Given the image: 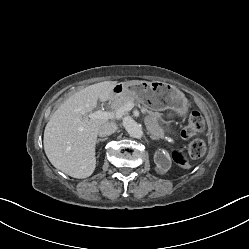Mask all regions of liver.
<instances>
[{"label": "liver", "mask_w": 249, "mask_h": 249, "mask_svg": "<svg viewBox=\"0 0 249 249\" xmlns=\"http://www.w3.org/2000/svg\"><path fill=\"white\" fill-rule=\"evenodd\" d=\"M116 81L90 85L70 96L53 113L44 131V150L51 164L74 178H87L96 167L99 127L107 119H89L97 102L113 96Z\"/></svg>", "instance_id": "6515ba94"}]
</instances>
